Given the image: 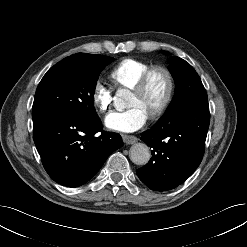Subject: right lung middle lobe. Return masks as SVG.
<instances>
[{
    "label": "right lung middle lobe",
    "mask_w": 247,
    "mask_h": 247,
    "mask_svg": "<svg viewBox=\"0 0 247 247\" xmlns=\"http://www.w3.org/2000/svg\"><path fill=\"white\" fill-rule=\"evenodd\" d=\"M113 60L108 56L85 54L67 57L51 67L37 87L33 120L69 112L83 118H96V83L100 72Z\"/></svg>",
    "instance_id": "1"
}]
</instances>
